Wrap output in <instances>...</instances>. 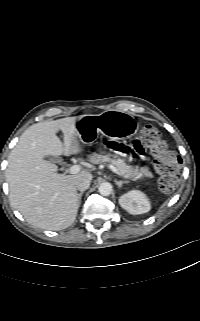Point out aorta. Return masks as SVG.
I'll return each instance as SVG.
<instances>
[{
  "label": "aorta",
  "mask_w": 200,
  "mask_h": 321,
  "mask_svg": "<svg viewBox=\"0 0 200 321\" xmlns=\"http://www.w3.org/2000/svg\"><path fill=\"white\" fill-rule=\"evenodd\" d=\"M98 191L103 196H109L112 193V185L108 182L100 184Z\"/></svg>",
  "instance_id": "aorta-1"
}]
</instances>
